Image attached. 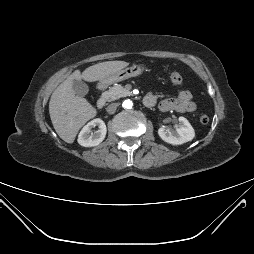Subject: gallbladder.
Here are the masks:
<instances>
[{
	"instance_id": "1",
	"label": "gallbladder",
	"mask_w": 254,
	"mask_h": 254,
	"mask_svg": "<svg viewBox=\"0 0 254 254\" xmlns=\"http://www.w3.org/2000/svg\"><path fill=\"white\" fill-rule=\"evenodd\" d=\"M73 90L76 95L84 96L88 93L89 88L85 82H83L81 80H74L73 81Z\"/></svg>"
}]
</instances>
